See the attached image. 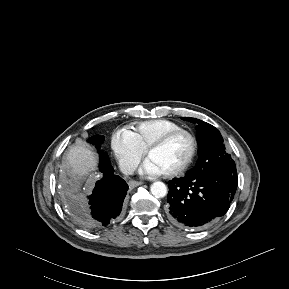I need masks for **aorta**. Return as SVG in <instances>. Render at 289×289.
<instances>
[{
  "label": "aorta",
  "mask_w": 289,
  "mask_h": 289,
  "mask_svg": "<svg viewBox=\"0 0 289 289\" xmlns=\"http://www.w3.org/2000/svg\"><path fill=\"white\" fill-rule=\"evenodd\" d=\"M150 191L156 198H163L167 194V187L163 182L158 181L151 185Z\"/></svg>",
  "instance_id": "762f6f07"
}]
</instances>
